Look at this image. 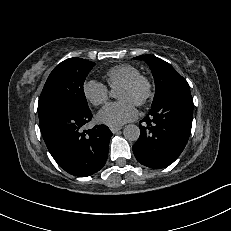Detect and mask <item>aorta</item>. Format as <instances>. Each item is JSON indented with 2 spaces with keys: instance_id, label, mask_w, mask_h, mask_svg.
I'll use <instances>...</instances> for the list:
<instances>
[{
  "instance_id": "762f6f07",
  "label": "aorta",
  "mask_w": 231,
  "mask_h": 231,
  "mask_svg": "<svg viewBox=\"0 0 231 231\" xmlns=\"http://www.w3.org/2000/svg\"><path fill=\"white\" fill-rule=\"evenodd\" d=\"M123 135L129 141H137L140 136V129L137 125L128 124L123 130Z\"/></svg>"
}]
</instances>
